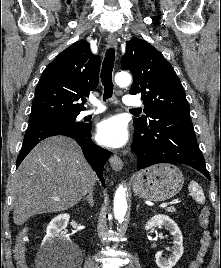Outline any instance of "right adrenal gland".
Wrapping results in <instances>:
<instances>
[{
	"label": "right adrenal gland",
	"mask_w": 221,
	"mask_h": 268,
	"mask_svg": "<svg viewBox=\"0 0 221 268\" xmlns=\"http://www.w3.org/2000/svg\"><path fill=\"white\" fill-rule=\"evenodd\" d=\"M83 201H87L90 205V207L94 206V200H93V190H91L87 197L83 199Z\"/></svg>",
	"instance_id": "2a0ac1e0"
}]
</instances>
